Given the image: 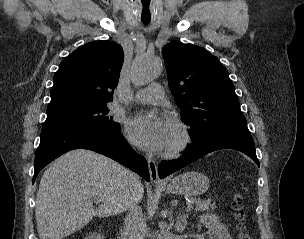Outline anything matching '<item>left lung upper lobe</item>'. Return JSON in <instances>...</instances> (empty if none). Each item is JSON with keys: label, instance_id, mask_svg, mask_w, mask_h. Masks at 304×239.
<instances>
[{"label": "left lung upper lobe", "instance_id": "obj_1", "mask_svg": "<svg viewBox=\"0 0 304 239\" xmlns=\"http://www.w3.org/2000/svg\"><path fill=\"white\" fill-rule=\"evenodd\" d=\"M162 54L168 83L194 143L225 133L250 134L228 71L204 48L167 44Z\"/></svg>", "mask_w": 304, "mask_h": 239}]
</instances>
